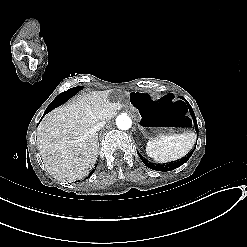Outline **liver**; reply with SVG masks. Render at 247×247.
Instances as JSON below:
<instances>
[{
  "label": "liver",
  "instance_id": "obj_1",
  "mask_svg": "<svg viewBox=\"0 0 247 247\" xmlns=\"http://www.w3.org/2000/svg\"><path fill=\"white\" fill-rule=\"evenodd\" d=\"M121 108L109 91H91L46 114L37 128V146L49 174L67 182L87 176L99 151L95 125L109 122Z\"/></svg>",
  "mask_w": 247,
  "mask_h": 247
}]
</instances>
